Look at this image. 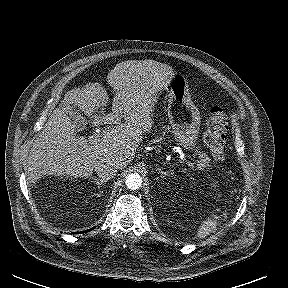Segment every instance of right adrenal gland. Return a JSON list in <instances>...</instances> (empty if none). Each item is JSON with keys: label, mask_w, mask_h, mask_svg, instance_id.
<instances>
[{"label": "right adrenal gland", "mask_w": 288, "mask_h": 288, "mask_svg": "<svg viewBox=\"0 0 288 288\" xmlns=\"http://www.w3.org/2000/svg\"><path fill=\"white\" fill-rule=\"evenodd\" d=\"M91 179H93L94 182L98 185V186H97L98 189L101 188V185H102L103 183H106V182H107V180H105V179H98V178L93 177V176L91 177Z\"/></svg>", "instance_id": "2a0ac1e0"}]
</instances>
